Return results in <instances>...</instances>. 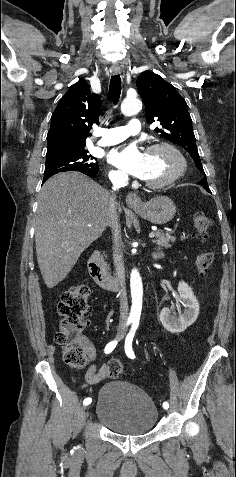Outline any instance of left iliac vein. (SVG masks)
I'll return each instance as SVG.
<instances>
[{
    "label": "left iliac vein",
    "mask_w": 236,
    "mask_h": 477,
    "mask_svg": "<svg viewBox=\"0 0 236 477\" xmlns=\"http://www.w3.org/2000/svg\"><path fill=\"white\" fill-rule=\"evenodd\" d=\"M162 412H163L164 414H166L167 416L170 414V411H169V409H168L167 407H164V408L162 409Z\"/></svg>",
    "instance_id": "left-iliac-vein-1"
}]
</instances>
